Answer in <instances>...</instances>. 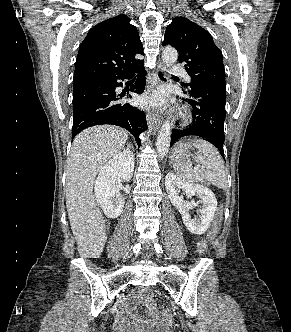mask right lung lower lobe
<instances>
[{"label":"right lung lower lobe","mask_w":291,"mask_h":332,"mask_svg":"<svg viewBox=\"0 0 291 332\" xmlns=\"http://www.w3.org/2000/svg\"><path fill=\"white\" fill-rule=\"evenodd\" d=\"M143 63L117 76H97L74 83L72 138L88 127L111 124L127 129L138 146L141 145L139 135L147 127L145 114L128 103H118L124 95H116L115 89L123 86L118 80L129 79L137 73V80L130 90L141 94L146 74Z\"/></svg>","instance_id":"1"}]
</instances>
